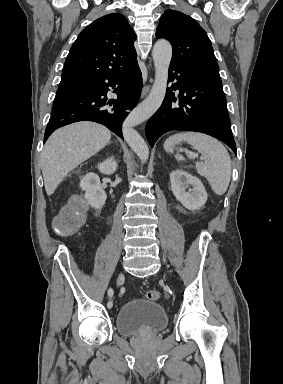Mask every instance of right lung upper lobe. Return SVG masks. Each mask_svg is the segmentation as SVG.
<instances>
[{"mask_svg":"<svg viewBox=\"0 0 283 384\" xmlns=\"http://www.w3.org/2000/svg\"><path fill=\"white\" fill-rule=\"evenodd\" d=\"M135 39L122 14L111 13L92 22L69 51L58 91L84 90L131 71L137 66Z\"/></svg>","mask_w":283,"mask_h":384,"instance_id":"right-lung-upper-lobe-1","label":"right lung upper lobe"}]
</instances>
